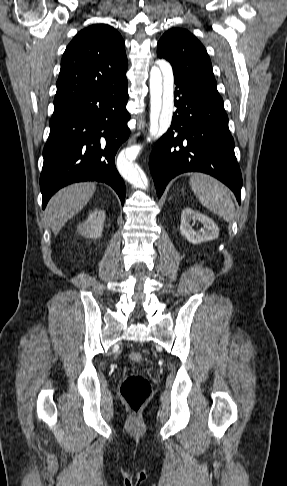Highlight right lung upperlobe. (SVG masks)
<instances>
[{"label":"right lung upper lobe","instance_id":"cb5924a9","mask_svg":"<svg viewBox=\"0 0 287 486\" xmlns=\"http://www.w3.org/2000/svg\"><path fill=\"white\" fill-rule=\"evenodd\" d=\"M127 66L125 43L117 30L107 24L81 30L63 54L54 110L126 82Z\"/></svg>","mask_w":287,"mask_h":486}]
</instances>
